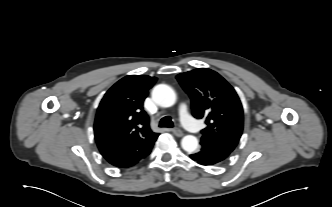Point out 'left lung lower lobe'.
Instances as JSON below:
<instances>
[{"label": "left lung lower lobe", "mask_w": 332, "mask_h": 207, "mask_svg": "<svg viewBox=\"0 0 332 207\" xmlns=\"http://www.w3.org/2000/svg\"><path fill=\"white\" fill-rule=\"evenodd\" d=\"M230 152L216 146L201 143V149L190 155V158L204 166L215 165L225 160Z\"/></svg>", "instance_id": "1"}]
</instances>
